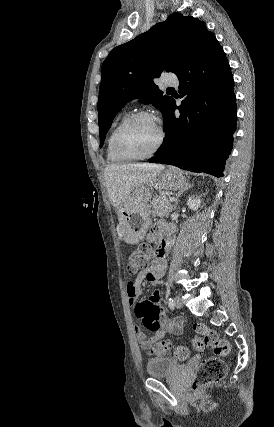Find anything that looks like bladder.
Here are the masks:
<instances>
[{
    "instance_id": "obj_1",
    "label": "bladder",
    "mask_w": 274,
    "mask_h": 427,
    "mask_svg": "<svg viewBox=\"0 0 274 427\" xmlns=\"http://www.w3.org/2000/svg\"><path fill=\"white\" fill-rule=\"evenodd\" d=\"M179 368L177 361L171 357L149 358L146 364V373L150 378L175 375Z\"/></svg>"
}]
</instances>
